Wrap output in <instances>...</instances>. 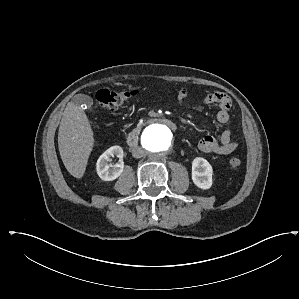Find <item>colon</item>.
<instances>
[{"label":"colon","instance_id":"obj_1","mask_svg":"<svg viewBox=\"0 0 299 299\" xmlns=\"http://www.w3.org/2000/svg\"><path fill=\"white\" fill-rule=\"evenodd\" d=\"M137 94L136 90L132 91H115L109 89H102L97 93V101L101 108L107 111H114L123 104L127 103L129 99ZM239 158H232L230 166L233 169H238L241 166Z\"/></svg>","mask_w":299,"mask_h":299}]
</instances>
